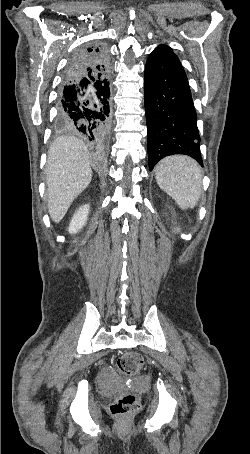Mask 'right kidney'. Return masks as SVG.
Returning <instances> with one entry per match:
<instances>
[{
	"instance_id": "1",
	"label": "right kidney",
	"mask_w": 250,
	"mask_h": 454,
	"mask_svg": "<svg viewBox=\"0 0 250 454\" xmlns=\"http://www.w3.org/2000/svg\"><path fill=\"white\" fill-rule=\"evenodd\" d=\"M89 210V205H84L75 212L69 224L70 234H75L83 228L86 224Z\"/></svg>"
}]
</instances>
